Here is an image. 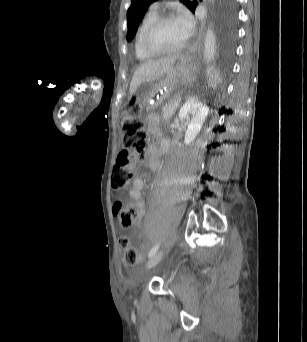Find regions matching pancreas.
Returning <instances> with one entry per match:
<instances>
[{"label":"pancreas","instance_id":"pancreas-1","mask_svg":"<svg viewBox=\"0 0 307 342\" xmlns=\"http://www.w3.org/2000/svg\"><path fill=\"white\" fill-rule=\"evenodd\" d=\"M179 98L175 97L174 95L168 99V102L170 104H178L179 103ZM161 116L162 117H169L172 115L173 112V106H165L161 109Z\"/></svg>","mask_w":307,"mask_h":342}]
</instances>
